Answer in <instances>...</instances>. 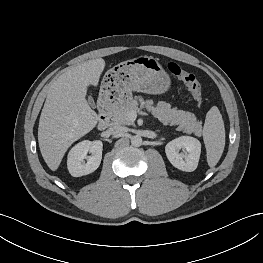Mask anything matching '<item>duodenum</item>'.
Instances as JSON below:
<instances>
[{"label":"duodenum","mask_w":263,"mask_h":263,"mask_svg":"<svg viewBox=\"0 0 263 263\" xmlns=\"http://www.w3.org/2000/svg\"><path fill=\"white\" fill-rule=\"evenodd\" d=\"M111 114L112 109L110 103L103 102L99 107V119L97 124L99 130H105L109 126Z\"/></svg>","instance_id":"obj_1"}]
</instances>
